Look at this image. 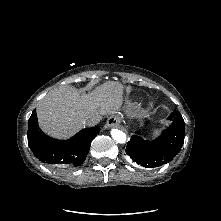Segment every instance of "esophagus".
Returning <instances> with one entry per match:
<instances>
[{
	"label": "esophagus",
	"mask_w": 221,
	"mask_h": 221,
	"mask_svg": "<svg viewBox=\"0 0 221 221\" xmlns=\"http://www.w3.org/2000/svg\"><path fill=\"white\" fill-rule=\"evenodd\" d=\"M120 124V117L118 115H111L106 123H105V128L108 129V128H111V127H116Z\"/></svg>",
	"instance_id": "esophagus-1"
}]
</instances>
